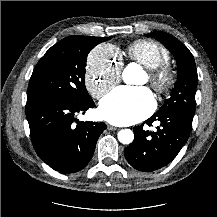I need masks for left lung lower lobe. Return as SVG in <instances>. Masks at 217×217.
Segmentation results:
<instances>
[{
	"mask_svg": "<svg viewBox=\"0 0 217 217\" xmlns=\"http://www.w3.org/2000/svg\"><path fill=\"white\" fill-rule=\"evenodd\" d=\"M194 114L183 110H171L154 114L144 124L160 121L155 132L134 127V141L125 148V158L135 169L151 172L168 165L187 142L192 130Z\"/></svg>",
	"mask_w": 217,
	"mask_h": 217,
	"instance_id": "0a47b994",
	"label": "left lung lower lobe"
}]
</instances>
